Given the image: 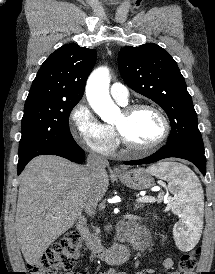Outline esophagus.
I'll return each instance as SVG.
<instances>
[{
  "label": "esophagus",
  "mask_w": 215,
  "mask_h": 274,
  "mask_svg": "<svg viewBox=\"0 0 215 274\" xmlns=\"http://www.w3.org/2000/svg\"><path fill=\"white\" fill-rule=\"evenodd\" d=\"M113 171H114V173H116V174L122 173V170H121L120 168H118V167H114Z\"/></svg>",
  "instance_id": "obj_1"
}]
</instances>
